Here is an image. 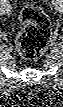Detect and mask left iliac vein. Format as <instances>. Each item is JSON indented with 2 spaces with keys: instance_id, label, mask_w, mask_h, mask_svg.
I'll return each instance as SVG.
<instances>
[{
  "instance_id": "4c4485c4",
  "label": "left iliac vein",
  "mask_w": 63,
  "mask_h": 107,
  "mask_svg": "<svg viewBox=\"0 0 63 107\" xmlns=\"http://www.w3.org/2000/svg\"><path fill=\"white\" fill-rule=\"evenodd\" d=\"M54 6L57 11H61V7H59L58 2H54Z\"/></svg>"
}]
</instances>
